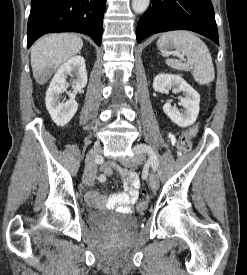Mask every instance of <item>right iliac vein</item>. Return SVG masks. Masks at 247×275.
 Segmentation results:
<instances>
[{"instance_id":"1","label":"right iliac vein","mask_w":247,"mask_h":275,"mask_svg":"<svg viewBox=\"0 0 247 275\" xmlns=\"http://www.w3.org/2000/svg\"><path fill=\"white\" fill-rule=\"evenodd\" d=\"M96 154H100V149L97 147L91 149L86 156L85 170L82 178V182L85 185L91 183L95 179L96 165L94 160Z\"/></svg>"}]
</instances>
